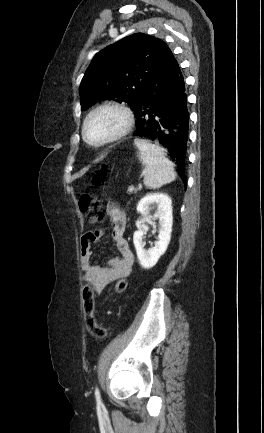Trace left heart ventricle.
I'll use <instances>...</instances> for the list:
<instances>
[{"label":"left heart ventricle","instance_id":"b2bd125f","mask_svg":"<svg viewBox=\"0 0 264 433\" xmlns=\"http://www.w3.org/2000/svg\"><path fill=\"white\" fill-rule=\"evenodd\" d=\"M123 118L120 113L106 110L95 115L87 125V137L91 141H99L116 132Z\"/></svg>","mask_w":264,"mask_h":433}]
</instances>
